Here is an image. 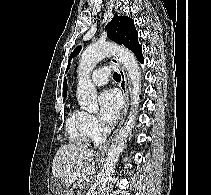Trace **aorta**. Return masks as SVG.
<instances>
[{
  "label": "aorta",
  "instance_id": "aorta-1",
  "mask_svg": "<svg viewBox=\"0 0 211 195\" xmlns=\"http://www.w3.org/2000/svg\"><path fill=\"white\" fill-rule=\"evenodd\" d=\"M110 55L116 56L128 73L133 86L131 91L133 106L127 123L119 130L108 149L98 188V195H103L105 192L107 181L115 170L116 163L133 128L141 93V73L134 54L128 49L113 43L97 42L83 51L79 61L77 100L81 108L88 112H96L98 110L97 91L91 82L90 73L99 61Z\"/></svg>",
  "mask_w": 211,
  "mask_h": 195
}]
</instances>
